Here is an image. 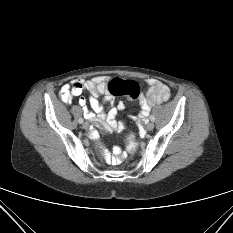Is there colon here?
I'll list each match as a JSON object with an SVG mask.
<instances>
[{"mask_svg":"<svg viewBox=\"0 0 233 233\" xmlns=\"http://www.w3.org/2000/svg\"><path fill=\"white\" fill-rule=\"evenodd\" d=\"M108 90L113 96H126L130 100H136L140 95V87L134 80L114 78L108 83ZM96 147L101 148V144L96 142ZM138 148V142L132 135L127 136V150L134 153Z\"/></svg>","mask_w":233,"mask_h":233,"instance_id":"1","label":"colon"}]
</instances>
